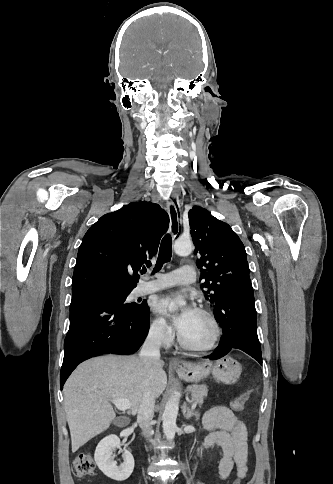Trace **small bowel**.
I'll list each match as a JSON object with an SVG mask.
<instances>
[{"mask_svg":"<svg viewBox=\"0 0 333 484\" xmlns=\"http://www.w3.org/2000/svg\"><path fill=\"white\" fill-rule=\"evenodd\" d=\"M203 427L210 431L200 450L218 446L222 450L219 462L221 478H227L236 468L237 476L245 477L248 460V432L243 419L227 406H216L203 417ZM196 484H204L198 481Z\"/></svg>","mask_w":333,"mask_h":484,"instance_id":"c3829d8e","label":"small bowel"}]
</instances>
